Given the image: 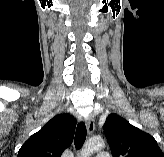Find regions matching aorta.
<instances>
[{
  "mask_svg": "<svg viewBox=\"0 0 164 157\" xmlns=\"http://www.w3.org/2000/svg\"><path fill=\"white\" fill-rule=\"evenodd\" d=\"M105 147L103 140L92 139L88 141L81 150V157H89L96 151H99Z\"/></svg>",
  "mask_w": 164,
  "mask_h": 157,
  "instance_id": "obj_1",
  "label": "aorta"
}]
</instances>
